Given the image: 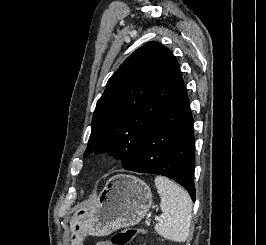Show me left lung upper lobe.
Wrapping results in <instances>:
<instances>
[{
  "instance_id": "left-lung-upper-lobe-1",
  "label": "left lung upper lobe",
  "mask_w": 266,
  "mask_h": 245,
  "mask_svg": "<svg viewBox=\"0 0 266 245\" xmlns=\"http://www.w3.org/2000/svg\"><path fill=\"white\" fill-rule=\"evenodd\" d=\"M177 60L158 42H149L129 56L107 82L97 102L84 157L108 152L127 168L140 141L181 89Z\"/></svg>"
}]
</instances>
